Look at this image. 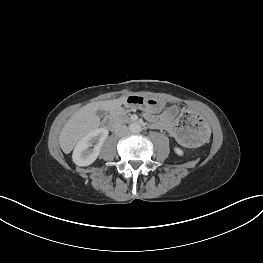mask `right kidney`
I'll return each mask as SVG.
<instances>
[{"label":"right kidney","mask_w":263,"mask_h":263,"mask_svg":"<svg viewBox=\"0 0 263 263\" xmlns=\"http://www.w3.org/2000/svg\"><path fill=\"white\" fill-rule=\"evenodd\" d=\"M108 130L98 128L83 137L75 146L72 159L78 166H89L98 157L101 147L108 137ZM93 149H91V147Z\"/></svg>","instance_id":"right-kidney-1"}]
</instances>
